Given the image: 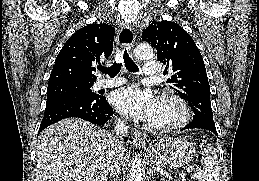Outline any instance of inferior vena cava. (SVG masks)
<instances>
[{
  "label": "inferior vena cava",
  "mask_w": 259,
  "mask_h": 181,
  "mask_svg": "<svg viewBox=\"0 0 259 181\" xmlns=\"http://www.w3.org/2000/svg\"><path fill=\"white\" fill-rule=\"evenodd\" d=\"M114 131L116 132L117 135L120 136H127L128 135V125L125 122V120H118L116 123V126L114 128ZM116 140V146L119 150H123L124 146L122 144V142H120L119 140H117V138H115ZM120 157L118 155V152L116 151V149H114L112 151L111 154V161H110V167H109V171L110 174L113 175V178L116 176V174H118L120 172Z\"/></svg>",
  "instance_id": "obj_1"
}]
</instances>
